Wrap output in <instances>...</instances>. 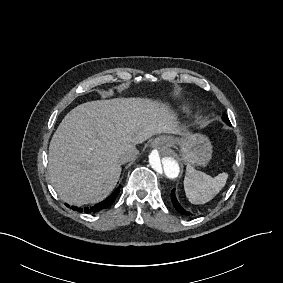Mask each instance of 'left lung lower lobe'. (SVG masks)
<instances>
[{"label":"left lung lower lobe","instance_id":"0a47b994","mask_svg":"<svg viewBox=\"0 0 283 283\" xmlns=\"http://www.w3.org/2000/svg\"><path fill=\"white\" fill-rule=\"evenodd\" d=\"M222 119L224 120V122H226V124L231 125V123H230V121H229V119H228V117H227L226 114H223ZM171 200H172V203H173L175 209H176L179 213H182V214H185V215H189V213H187V212L179 205V203L177 202L176 197H175V190H172V191H171Z\"/></svg>","mask_w":283,"mask_h":283}]
</instances>
